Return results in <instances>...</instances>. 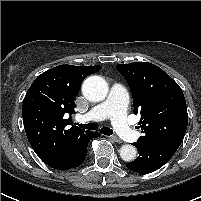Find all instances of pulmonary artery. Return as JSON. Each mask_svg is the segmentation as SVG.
<instances>
[{"label": "pulmonary artery", "instance_id": "pulmonary-artery-1", "mask_svg": "<svg viewBox=\"0 0 201 201\" xmlns=\"http://www.w3.org/2000/svg\"><path fill=\"white\" fill-rule=\"evenodd\" d=\"M128 104V93L119 83H114L108 97L100 104L90 109L84 115H78L80 122L101 121L110 119L118 135L128 142H135L140 134L127 122L126 108Z\"/></svg>", "mask_w": 201, "mask_h": 201}]
</instances>
